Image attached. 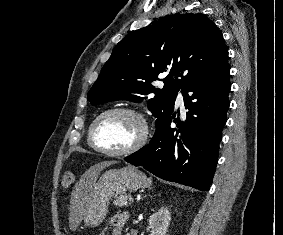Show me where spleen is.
<instances>
[{
    "instance_id": "1",
    "label": "spleen",
    "mask_w": 283,
    "mask_h": 235,
    "mask_svg": "<svg viewBox=\"0 0 283 235\" xmlns=\"http://www.w3.org/2000/svg\"><path fill=\"white\" fill-rule=\"evenodd\" d=\"M147 180H148L149 182H151V179H150V178H148Z\"/></svg>"
}]
</instances>
